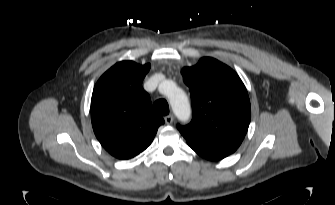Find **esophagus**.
Instances as JSON below:
<instances>
[{"instance_id":"1","label":"esophagus","mask_w":335,"mask_h":205,"mask_svg":"<svg viewBox=\"0 0 335 205\" xmlns=\"http://www.w3.org/2000/svg\"><path fill=\"white\" fill-rule=\"evenodd\" d=\"M164 120H165L166 124L170 125L174 121V116L172 114H169V115L165 116Z\"/></svg>"}]
</instances>
